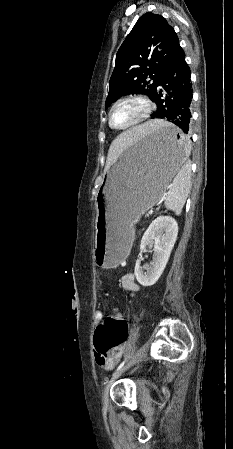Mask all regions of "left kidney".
I'll return each instance as SVG.
<instances>
[{"label":"left kidney","instance_id":"obj_1","mask_svg":"<svg viewBox=\"0 0 233 449\" xmlns=\"http://www.w3.org/2000/svg\"><path fill=\"white\" fill-rule=\"evenodd\" d=\"M178 234V224L170 216H159L149 225L140 244V255L146 247L153 248V266L143 272L141 257L135 264V276L139 284L144 287L154 285L162 275L169 260Z\"/></svg>","mask_w":233,"mask_h":449}]
</instances>
